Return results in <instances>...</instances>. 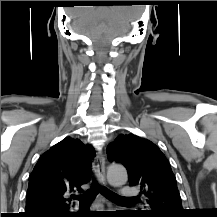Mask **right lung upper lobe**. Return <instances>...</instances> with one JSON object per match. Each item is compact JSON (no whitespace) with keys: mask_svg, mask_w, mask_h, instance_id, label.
Here are the masks:
<instances>
[{"mask_svg":"<svg viewBox=\"0 0 217 217\" xmlns=\"http://www.w3.org/2000/svg\"><path fill=\"white\" fill-rule=\"evenodd\" d=\"M95 150L79 139L67 137L45 152L30 177L23 217H65L69 193L90 181Z\"/></svg>","mask_w":217,"mask_h":217,"instance_id":"cb5924a9","label":"right lung upper lobe"}]
</instances>
